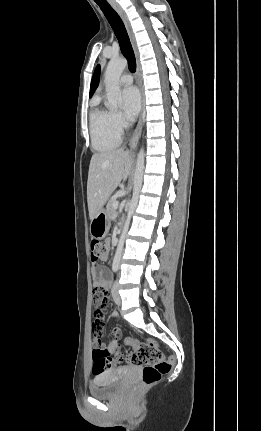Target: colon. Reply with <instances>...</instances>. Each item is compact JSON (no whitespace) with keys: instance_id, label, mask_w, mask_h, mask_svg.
<instances>
[{"instance_id":"obj_1","label":"colon","mask_w":261,"mask_h":431,"mask_svg":"<svg viewBox=\"0 0 261 431\" xmlns=\"http://www.w3.org/2000/svg\"><path fill=\"white\" fill-rule=\"evenodd\" d=\"M107 254V243L97 240L91 242V260L93 262L103 259ZM129 344L132 347V352L127 358L128 362L142 366V384L132 389V393L137 394L144 386L157 383L164 374L171 370L172 364L171 361L164 357L162 351L153 340H148L142 344L129 341ZM93 357L95 361L92 368L93 375H102L103 372L113 373L116 370V362L109 359V354L106 350H94Z\"/></svg>"}]
</instances>
